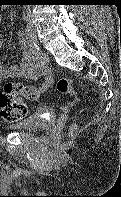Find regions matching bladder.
Returning a JSON list of instances; mask_svg holds the SVG:
<instances>
[{
    "label": "bladder",
    "instance_id": "1",
    "mask_svg": "<svg viewBox=\"0 0 121 197\" xmlns=\"http://www.w3.org/2000/svg\"><path fill=\"white\" fill-rule=\"evenodd\" d=\"M55 118L54 111L49 107H40L31 116L20 120L9 126L12 130L34 131L41 129L45 124L50 123Z\"/></svg>",
    "mask_w": 121,
    "mask_h": 197
}]
</instances>
